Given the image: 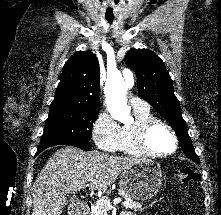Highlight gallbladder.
<instances>
[{
	"instance_id": "gallbladder-1",
	"label": "gallbladder",
	"mask_w": 221,
	"mask_h": 215,
	"mask_svg": "<svg viewBox=\"0 0 221 215\" xmlns=\"http://www.w3.org/2000/svg\"><path fill=\"white\" fill-rule=\"evenodd\" d=\"M67 200H68L67 202H72L74 201V198H68Z\"/></svg>"
}]
</instances>
